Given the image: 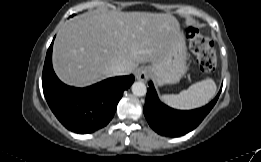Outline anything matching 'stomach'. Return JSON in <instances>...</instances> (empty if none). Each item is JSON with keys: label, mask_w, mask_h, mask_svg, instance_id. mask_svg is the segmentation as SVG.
<instances>
[{"label": "stomach", "mask_w": 261, "mask_h": 162, "mask_svg": "<svg viewBox=\"0 0 261 162\" xmlns=\"http://www.w3.org/2000/svg\"><path fill=\"white\" fill-rule=\"evenodd\" d=\"M186 60L187 47L180 32L165 56L147 67L149 77L159 86L177 83L187 71Z\"/></svg>", "instance_id": "obj_1"}]
</instances>
